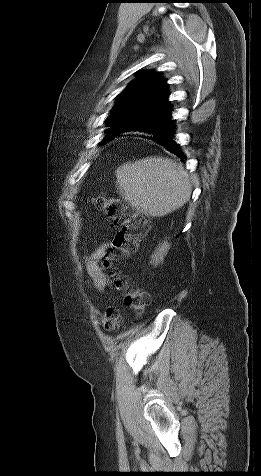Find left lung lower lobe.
<instances>
[{
	"label": "left lung lower lobe",
	"instance_id": "obj_1",
	"mask_svg": "<svg viewBox=\"0 0 261 476\" xmlns=\"http://www.w3.org/2000/svg\"><path fill=\"white\" fill-rule=\"evenodd\" d=\"M138 130L151 134L148 138L162 145L169 152L177 155L178 157L185 159L184 154L179 149L178 144L173 139L174 126L173 120H171V111L162 114L159 117L146 118L141 121H133L127 126L120 127L108 131L102 143L117 136L118 133Z\"/></svg>",
	"mask_w": 261,
	"mask_h": 476
}]
</instances>
